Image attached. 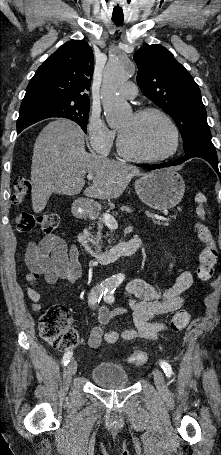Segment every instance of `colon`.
I'll return each instance as SVG.
<instances>
[{"mask_svg": "<svg viewBox=\"0 0 221 455\" xmlns=\"http://www.w3.org/2000/svg\"><path fill=\"white\" fill-rule=\"evenodd\" d=\"M32 191L31 182L22 176L14 180L12 202L19 206L24 203ZM17 228L24 233L38 231L41 234L52 233L59 224V216L55 213L32 214L20 212L16 215ZM198 235L204 247L199 254L197 266V277L199 280L209 281L214 273L218 250L208 230L203 226H198ZM189 313L179 310L175 313L171 321V328L174 331L182 330L189 322ZM39 332L44 340L52 346L66 350L73 348L79 343V336L75 329L70 325L67 309L62 305L50 307L39 320ZM130 364L134 366L145 365L148 361V354L144 351H134L128 358Z\"/></svg>", "mask_w": 221, "mask_h": 455, "instance_id": "5ec220e1", "label": "colon"}]
</instances>
